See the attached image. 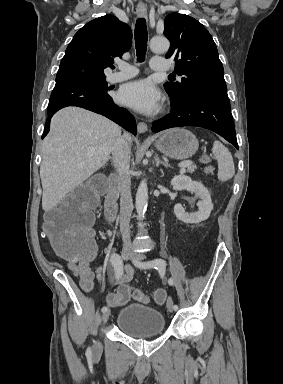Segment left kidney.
<instances>
[{
  "instance_id": "obj_1",
  "label": "left kidney",
  "mask_w": 283,
  "mask_h": 384,
  "mask_svg": "<svg viewBox=\"0 0 283 384\" xmlns=\"http://www.w3.org/2000/svg\"><path fill=\"white\" fill-rule=\"evenodd\" d=\"M171 186L173 190H188V192H194L196 196H199L200 202H198L197 206L199 208L198 212H185L183 206L181 204H175L174 206V214L178 220L181 222H185V224H199V222H204L209 218L212 210L213 204L211 202V196L200 182H192L189 176H174L173 180H171Z\"/></svg>"
}]
</instances>
